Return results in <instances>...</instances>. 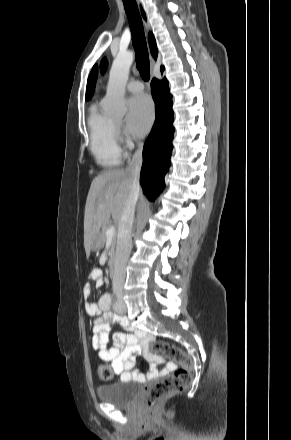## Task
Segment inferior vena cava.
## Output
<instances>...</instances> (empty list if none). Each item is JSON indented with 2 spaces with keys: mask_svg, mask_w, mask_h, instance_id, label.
<instances>
[{
  "mask_svg": "<svg viewBox=\"0 0 291 440\" xmlns=\"http://www.w3.org/2000/svg\"><path fill=\"white\" fill-rule=\"evenodd\" d=\"M143 144H139L137 151L133 155L126 172L131 178L130 193L121 215L118 225V242L115 254V266L113 275V293L119 304L123 302V287L126 277V265L132 249V227L134 222L135 205L140 191V170L142 166Z\"/></svg>",
  "mask_w": 291,
  "mask_h": 440,
  "instance_id": "inferior-vena-cava-1",
  "label": "inferior vena cava"
}]
</instances>
